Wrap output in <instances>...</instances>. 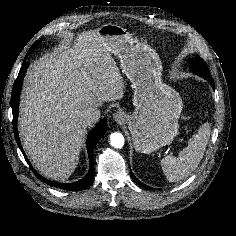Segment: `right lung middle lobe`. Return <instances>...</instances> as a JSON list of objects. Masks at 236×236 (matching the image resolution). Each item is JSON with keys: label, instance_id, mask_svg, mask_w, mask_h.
Listing matches in <instances>:
<instances>
[{"label": "right lung middle lobe", "instance_id": "right-lung-middle-lobe-1", "mask_svg": "<svg viewBox=\"0 0 236 236\" xmlns=\"http://www.w3.org/2000/svg\"><path fill=\"white\" fill-rule=\"evenodd\" d=\"M39 43H40L39 41H36V42L31 46V48L29 49V51H28L27 54H31V53L34 51V49L38 46Z\"/></svg>", "mask_w": 236, "mask_h": 236}]
</instances>
